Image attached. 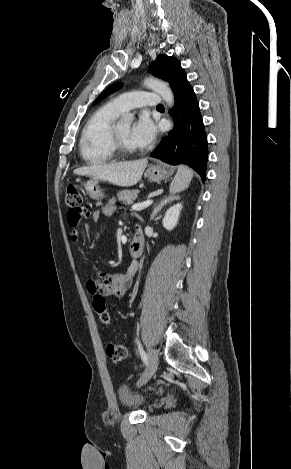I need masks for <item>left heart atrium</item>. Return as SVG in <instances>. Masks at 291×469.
Wrapping results in <instances>:
<instances>
[{
    "instance_id": "1",
    "label": "left heart atrium",
    "mask_w": 291,
    "mask_h": 469,
    "mask_svg": "<svg viewBox=\"0 0 291 469\" xmlns=\"http://www.w3.org/2000/svg\"><path fill=\"white\" fill-rule=\"evenodd\" d=\"M156 126L147 113H142L131 128L130 139L139 148L150 145L156 136Z\"/></svg>"
}]
</instances>
